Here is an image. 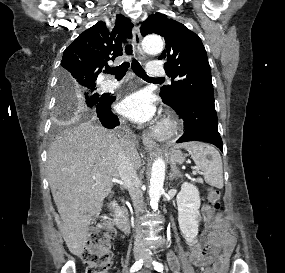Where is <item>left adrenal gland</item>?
<instances>
[{"label": "left adrenal gland", "instance_id": "a2214340", "mask_svg": "<svg viewBox=\"0 0 285 273\" xmlns=\"http://www.w3.org/2000/svg\"><path fill=\"white\" fill-rule=\"evenodd\" d=\"M181 176L179 169L176 167V165H171V172L169 174L170 180H173L174 178H179Z\"/></svg>", "mask_w": 285, "mask_h": 273}]
</instances>
